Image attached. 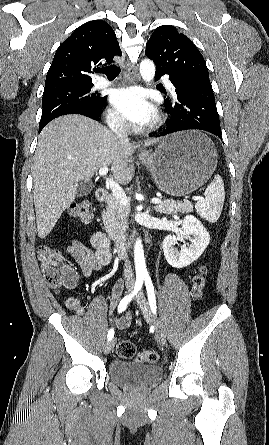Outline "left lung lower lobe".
Wrapping results in <instances>:
<instances>
[{"instance_id":"left-lung-lower-lobe-1","label":"left lung lower lobe","mask_w":269,"mask_h":445,"mask_svg":"<svg viewBox=\"0 0 269 445\" xmlns=\"http://www.w3.org/2000/svg\"><path fill=\"white\" fill-rule=\"evenodd\" d=\"M164 74L156 70V80ZM170 81L176 88V98L167 97L164 101V107L170 115L169 123L161 133L154 136L199 129L221 138L220 121L210 80L170 78Z\"/></svg>"}]
</instances>
